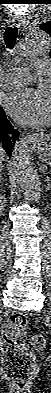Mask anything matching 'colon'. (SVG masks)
I'll use <instances>...</instances> for the list:
<instances>
[{
  "mask_svg": "<svg viewBox=\"0 0 51 393\" xmlns=\"http://www.w3.org/2000/svg\"><path fill=\"white\" fill-rule=\"evenodd\" d=\"M28 320L22 313H13L3 328L1 339L2 370L9 381L23 392L30 383L36 369L33 353L24 345L25 328ZM32 347L42 351L46 346L44 336L36 334L31 338Z\"/></svg>",
  "mask_w": 51,
  "mask_h": 393,
  "instance_id": "5ec220e1",
  "label": "colon"
}]
</instances>
